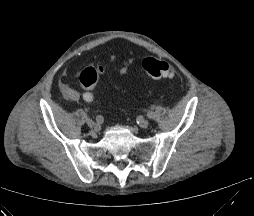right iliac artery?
<instances>
[{"label": "right iliac artery", "mask_w": 254, "mask_h": 216, "mask_svg": "<svg viewBox=\"0 0 254 216\" xmlns=\"http://www.w3.org/2000/svg\"><path fill=\"white\" fill-rule=\"evenodd\" d=\"M103 121H104V119H103V117H102L101 115H98V116L96 117V122H97L98 124L103 123Z\"/></svg>", "instance_id": "right-iliac-artery-1"}]
</instances>
